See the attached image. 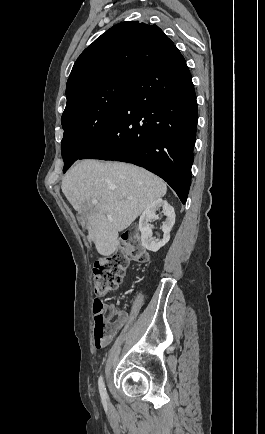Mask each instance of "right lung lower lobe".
<instances>
[{"instance_id":"1","label":"right lung lower lobe","mask_w":265,"mask_h":434,"mask_svg":"<svg viewBox=\"0 0 265 434\" xmlns=\"http://www.w3.org/2000/svg\"><path fill=\"white\" fill-rule=\"evenodd\" d=\"M197 120L192 76L174 45L133 79L114 121L79 159L141 166L164 179L185 204Z\"/></svg>"}]
</instances>
